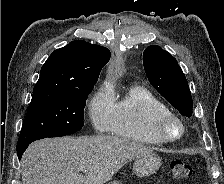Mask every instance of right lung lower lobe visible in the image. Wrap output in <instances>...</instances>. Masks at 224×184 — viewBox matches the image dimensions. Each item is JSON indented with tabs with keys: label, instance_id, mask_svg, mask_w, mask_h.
Listing matches in <instances>:
<instances>
[{
	"label": "right lung lower lobe",
	"instance_id": "obj_1",
	"mask_svg": "<svg viewBox=\"0 0 224 184\" xmlns=\"http://www.w3.org/2000/svg\"><path fill=\"white\" fill-rule=\"evenodd\" d=\"M28 145L29 144L17 146V155H18L19 160L21 159L22 154L24 153V151L26 150V148L28 147Z\"/></svg>",
	"mask_w": 224,
	"mask_h": 184
}]
</instances>
